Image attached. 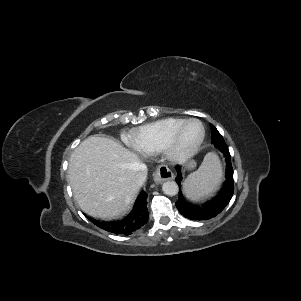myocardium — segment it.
I'll return each mask as SVG.
<instances>
[{"label": "myocardium", "mask_w": 301, "mask_h": 301, "mask_svg": "<svg viewBox=\"0 0 301 301\" xmlns=\"http://www.w3.org/2000/svg\"><path fill=\"white\" fill-rule=\"evenodd\" d=\"M193 122H197L200 124V126L202 128L201 136H200L199 140L196 142V144L191 149L186 150V151H180L178 149V142H179L180 136H181L182 132L184 131V129L190 123H193ZM205 135H206V130H205V126L202 123V121H200L199 119H196V118L187 119L167 138L161 152L168 161H170L172 163H183V162L189 160L190 158H192L199 151L201 145L204 142Z\"/></svg>", "instance_id": "f54148a6"}]
</instances>
